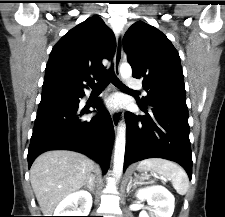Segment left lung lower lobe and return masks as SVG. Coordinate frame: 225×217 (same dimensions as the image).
Segmentation results:
<instances>
[{
  "mask_svg": "<svg viewBox=\"0 0 225 217\" xmlns=\"http://www.w3.org/2000/svg\"><path fill=\"white\" fill-rule=\"evenodd\" d=\"M148 105L149 110L139 103L140 109L146 113L144 116L125 113L124 169L132 162L158 157L179 163L191 180L192 157L186 101L151 99Z\"/></svg>",
  "mask_w": 225,
  "mask_h": 217,
  "instance_id": "1",
  "label": "left lung lower lobe"
}]
</instances>
